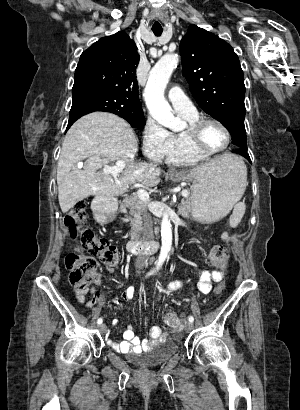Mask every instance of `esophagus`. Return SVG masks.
<instances>
[{"mask_svg": "<svg viewBox=\"0 0 300 410\" xmlns=\"http://www.w3.org/2000/svg\"><path fill=\"white\" fill-rule=\"evenodd\" d=\"M168 172L171 173V174L177 173V171H176L175 168H170V169L168 170Z\"/></svg>", "mask_w": 300, "mask_h": 410, "instance_id": "1", "label": "esophagus"}]
</instances>
